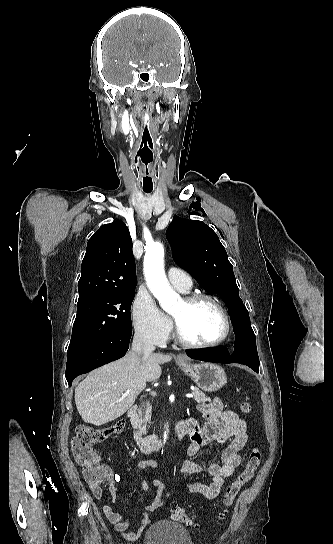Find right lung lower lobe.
<instances>
[{
    "label": "right lung lower lobe",
    "instance_id": "right-lung-lower-lobe-1",
    "mask_svg": "<svg viewBox=\"0 0 333 544\" xmlns=\"http://www.w3.org/2000/svg\"><path fill=\"white\" fill-rule=\"evenodd\" d=\"M131 334V329H124L68 356L65 376L69 385L77 376L123 357L129 348Z\"/></svg>",
    "mask_w": 333,
    "mask_h": 544
}]
</instances>
